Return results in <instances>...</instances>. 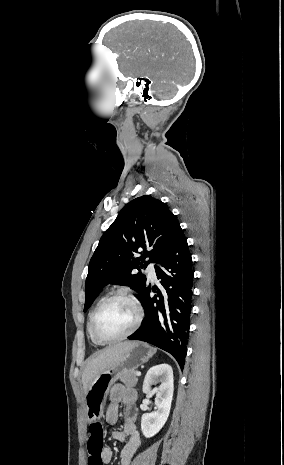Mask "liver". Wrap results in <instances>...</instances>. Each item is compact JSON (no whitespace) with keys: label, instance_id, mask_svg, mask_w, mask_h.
I'll use <instances>...</instances> for the list:
<instances>
[{"label":"liver","instance_id":"1","mask_svg":"<svg viewBox=\"0 0 284 465\" xmlns=\"http://www.w3.org/2000/svg\"><path fill=\"white\" fill-rule=\"evenodd\" d=\"M130 347V341L117 343V345L107 347V349H104V351H101L98 355H93V357L88 359L87 365L82 373V385L85 395L93 379L101 375V373H104V371H107V369L115 367L116 363H119L121 357H123L124 353H126Z\"/></svg>","mask_w":284,"mask_h":465}]
</instances>
